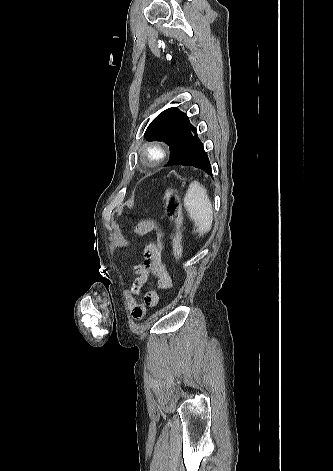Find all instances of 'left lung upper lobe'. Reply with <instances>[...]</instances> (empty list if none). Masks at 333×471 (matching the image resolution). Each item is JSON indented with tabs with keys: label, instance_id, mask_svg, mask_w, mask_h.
<instances>
[{
	"label": "left lung upper lobe",
	"instance_id": "obj_1",
	"mask_svg": "<svg viewBox=\"0 0 333 471\" xmlns=\"http://www.w3.org/2000/svg\"><path fill=\"white\" fill-rule=\"evenodd\" d=\"M196 131L187 115L173 107L160 113L150 123L144 137L148 141H164L170 148L171 159L194 139Z\"/></svg>",
	"mask_w": 333,
	"mask_h": 471
}]
</instances>
